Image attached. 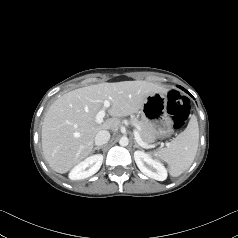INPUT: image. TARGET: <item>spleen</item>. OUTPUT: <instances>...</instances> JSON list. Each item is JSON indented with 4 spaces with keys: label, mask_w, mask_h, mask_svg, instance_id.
I'll use <instances>...</instances> for the list:
<instances>
[{
    "label": "spleen",
    "mask_w": 238,
    "mask_h": 238,
    "mask_svg": "<svg viewBox=\"0 0 238 238\" xmlns=\"http://www.w3.org/2000/svg\"><path fill=\"white\" fill-rule=\"evenodd\" d=\"M199 143V128L197 118L193 115L187 128L176 138L151 154L166 162L169 167V173L173 177L181 175L186 171L196 156Z\"/></svg>",
    "instance_id": "1"
}]
</instances>
